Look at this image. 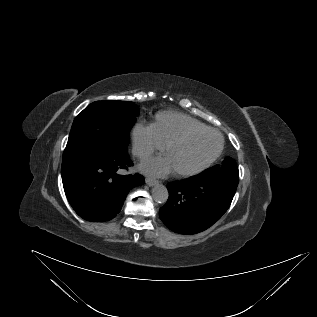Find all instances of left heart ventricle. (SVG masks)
Listing matches in <instances>:
<instances>
[{
    "label": "left heart ventricle",
    "mask_w": 317,
    "mask_h": 317,
    "mask_svg": "<svg viewBox=\"0 0 317 317\" xmlns=\"http://www.w3.org/2000/svg\"><path fill=\"white\" fill-rule=\"evenodd\" d=\"M219 143L220 138L214 132L198 133L169 149L165 157L173 171L188 170L208 159L217 150Z\"/></svg>",
    "instance_id": "b2bd125f"
}]
</instances>
